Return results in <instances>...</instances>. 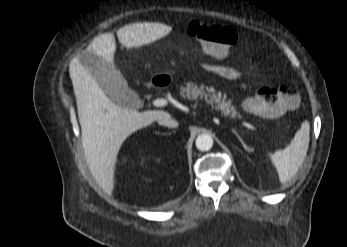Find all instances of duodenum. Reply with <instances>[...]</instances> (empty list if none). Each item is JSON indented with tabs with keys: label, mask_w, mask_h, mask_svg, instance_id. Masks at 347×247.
I'll list each match as a JSON object with an SVG mask.
<instances>
[{
	"label": "duodenum",
	"mask_w": 347,
	"mask_h": 247,
	"mask_svg": "<svg viewBox=\"0 0 347 247\" xmlns=\"http://www.w3.org/2000/svg\"><path fill=\"white\" fill-rule=\"evenodd\" d=\"M166 85L167 83L165 82L162 76L154 77L149 83L150 88H161V87H165Z\"/></svg>",
	"instance_id": "410a0bca"
}]
</instances>
